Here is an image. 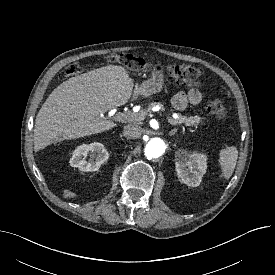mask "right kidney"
<instances>
[{
    "instance_id": "obj_1",
    "label": "right kidney",
    "mask_w": 275,
    "mask_h": 275,
    "mask_svg": "<svg viewBox=\"0 0 275 275\" xmlns=\"http://www.w3.org/2000/svg\"><path fill=\"white\" fill-rule=\"evenodd\" d=\"M89 155V159L86 157ZM109 158V153L102 143L82 144L70 158V165L84 172L97 171Z\"/></svg>"
}]
</instances>
